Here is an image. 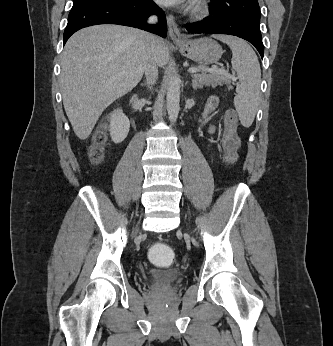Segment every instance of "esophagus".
<instances>
[{
    "label": "esophagus",
    "instance_id": "34e87169",
    "mask_svg": "<svg viewBox=\"0 0 333 346\" xmlns=\"http://www.w3.org/2000/svg\"><path fill=\"white\" fill-rule=\"evenodd\" d=\"M167 24L169 36L174 42L185 41V37L181 34L180 29L178 28L174 20V17L170 14L167 16Z\"/></svg>",
    "mask_w": 333,
    "mask_h": 346
}]
</instances>
